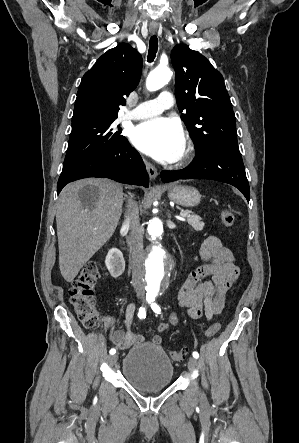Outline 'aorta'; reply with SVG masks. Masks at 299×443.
Here are the masks:
<instances>
[{
  "label": "aorta",
  "instance_id": "1",
  "mask_svg": "<svg viewBox=\"0 0 299 443\" xmlns=\"http://www.w3.org/2000/svg\"><path fill=\"white\" fill-rule=\"evenodd\" d=\"M172 77V71L168 67H157L147 77L146 87L149 91H156L166 85ZM146 234L152 242L151 248L145 256V280L147 297L156 299L160 296L166 277L168 254L161 245L165 235V228L159 218L149 221Z\"/></svg>",
  "mask_w": 299,
  "mask_h": 443
}]
</instances>
